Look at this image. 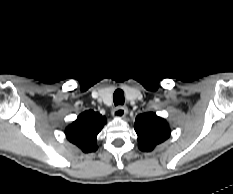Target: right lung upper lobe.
I'll return each instance as SVG.
<instances>
[{
	"instance_id": "right-lung-upper-lobe-1",
	"label": "right lung upper lobe",
	"mask_w": 233,
	"mask_h": 194,
	"mask_svg": "<svg viewBox=\"0 0 233 194\" xmlns=\"http://www.w3.org/2000/svg\"><path fill=\"white\" fill-rule=\"evenodd\" d=\"M105 123L104 116L92 110L85 111L67 127L66 137L85 153L96 151V137Z\"/></svg>"
}]
</instances>
